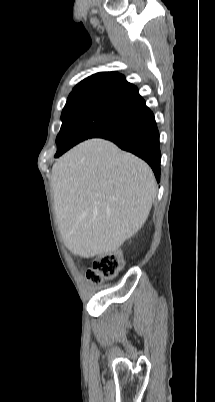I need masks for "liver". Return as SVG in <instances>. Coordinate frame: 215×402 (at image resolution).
I'll return each mask as SVG.
<instances>
[{"instance_id": "liver-1", "label": "liver", "mask_w": 215, "mask_h": 402, "mask_svg": "<svg viewBox=\"0 0 215 402\" xmlns=\"http://www.w3.org/2000/svg\"><path fill=\"white\" fill-rule=\"evenodd\" d=\"M51 187L64 244L83 258L111 254L137 233L157 193L147 163L99 138L53 165Z\"/></svg>"}]
</instances>
